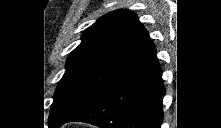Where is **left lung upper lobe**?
Returning a JSON list of instances; mask_svg holds the SVG:
<instances>
[{"mask_svg":"<svg viewBox=\"0 0 221 128\" xmlns=\"http://www.w3.org/2000/svg\"><path fill=\"white\" fill-rule=\"evenodd\" d=\"M71 52L56 87L48 118L56 128L99 99L154 48L144 26L129 10L97 20Z\"/></svg>","mask_w":221,"mask_h":128,"instance_id":"5c2ea615","label":"left lung upper lobe"}]
</instances>
